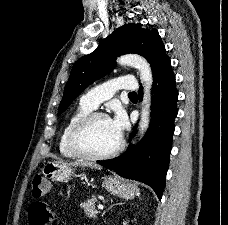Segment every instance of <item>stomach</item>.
<instances>
[{"instance_id": "obj_1", "label": "stomach", "mask_w": 228, "mask_h": 225, "mask_svg": "<svg viewBox=\"0 0 228 225\" xmlns=\"http://www.w3.org/2000/svg\"><path fill=\"white\" fill-rule=\"evenodd\" d=\"M75 169L60 161H48L42 169L44 177H48L55 183H63L73 175ZM103 187L110 195L120 197V199H134L139 193L138 187L129 181H121L119 177H104Z\"/></svg>"}]
</instances>
